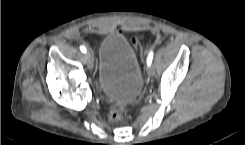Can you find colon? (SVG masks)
<instances>
[{
  "label": "colon",
  "instance_id": "5ec220e1",
  "mask_svg": "<svg viewBox=\"0 0 245 145\" xmlns=\"http://www.w3.org/2000/svg\"><path fill=\"white\" fill-rule=\"evenodd\" d=\"M84 36L77 32L72 35L73 39H82ZM144 39V33L139 32L130 38V42L134 47H137L139 43ZM126 110L123 107H116L110 112V120L114 123L121 122L124 119Z\"/></svg>",
  "mask_w": 245,
  "mask_h": 145
}]
</instances>
